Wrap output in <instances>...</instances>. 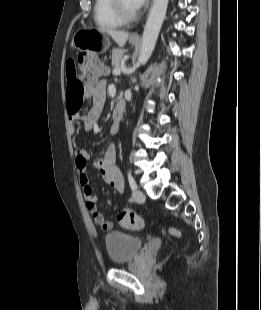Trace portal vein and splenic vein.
Masks as SVG:
<instances>
[{
    "label": "portal vein and splenic vein",
    "instance_id": "obj_1",
    "mask_svg": "<svg viewBox=\"0 0 261 310\" xmlns=\"http://www.w3.org/2000/svg\"><path fill=\"white\" fill-rule=\"evenodd\" d=\"M120 73H121V71H120L119 68H114L113 69V75L118 76V75H120Z\"/></svg>",
    "mask_w": 261,
    "mask_h": 310
}]
</instances>
